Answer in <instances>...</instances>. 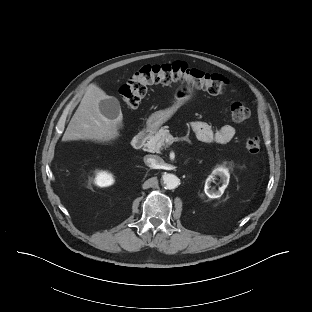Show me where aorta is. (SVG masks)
Returning <instances> with one entry per match:
<instances>
[{"label": "aorta", "mask_w": 312, "mask_h": 312, "mask_svg": "<svg viewBox=\"0 0 312 312\" xmlns=\"http://www.w3.org/2000/svg\"><path fill=\"white\" fill-rule=\"evenodd\" d=\"M162 178L167 189H175L179 185V179L174 174H165Z\"/></svg>", "instance_id": "762f6f07"}]
</instances>
